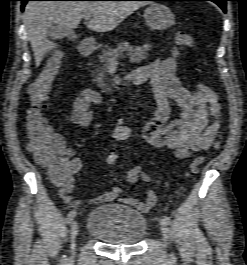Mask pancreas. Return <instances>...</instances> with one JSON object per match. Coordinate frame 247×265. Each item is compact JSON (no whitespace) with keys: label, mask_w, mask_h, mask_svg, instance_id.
<instances>
[{"label":"pancreas","mask_w":247,"mask_h":265,"mask_svg":"<svg viewBox=\"0 0 247 265\" xmlns=\"http://www.w3.org/2000/svg\"><path fill=\"white\" fill-rule=\"evenodd\" d=\"M148 51L149 48L134 47L128 42H121L115 48L102 50L101 54L98 55L100 64L96 66V70L93 72L95 75L93 82L96 83L98 87L102 88L104 92H107L110 88L104 83V79L108 72V66L111 63V60L113 58L118 59L124 57L123 53L127 52V55L132 62L140 63L148 57Z\"/></svg>","instance_id":"pancreas-1"}]
</instances>
